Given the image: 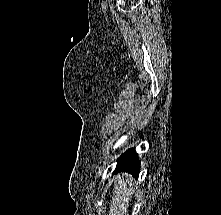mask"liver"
<instances>
[{
	"label": "liver",
	"instance_id": "obj_1",
	"mask_svg": "<svg viewBox=\"0 0 221 215\" xmlns=\"http://www.w3.org/2000/svg\"><path fill=\"white\" fill-rule=\"evenodd\" d=\"M127 177V174L116 176L114 192L110 200L109 215H127L128 213L129 201L134 194V188Z\"/></svg>",
	"mask_w": 221,
	"mask_h": 215
}]
</instances>
